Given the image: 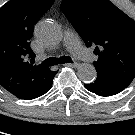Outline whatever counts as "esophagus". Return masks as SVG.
Masks as SVG:
<instances>
[{
    "instance_id": "34e87169",
    "label": "esophagus",
    "mask_w": 135,
    "mask_h": 135,
    "mask_svg": "<svg viewBox=\"0 0 135 135\" xmlns=\"http://www.w3.org/2000/svg\"><path fill=\"white\" fill-rule=\"evenodd\" d=\"M65 66H68V67H72V68H77L79 67V64L78 63H68V64H64Z\"/></svg>"
}]
</instances>
